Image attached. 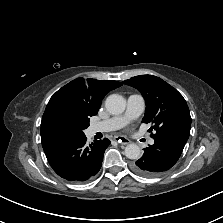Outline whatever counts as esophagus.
<instances>
[{"label": "esophagus", "mask_w": 223, "mask_h": 223, "mask_svg": "<svg viewBox=\"0 0 223 223\" xmlns=\"http://www.w3.org/2000/svg\"><path fill=\"white\" fill-rule=\"evenodd\" d=\"M114 140L122 145H127L130 143V140L124 136H115Z\"/></svg>", "instance_id": "1"}]
</instances>
